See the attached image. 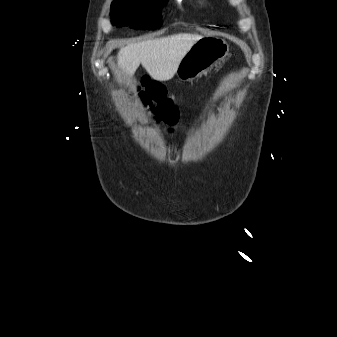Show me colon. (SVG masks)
Segmentation results:
<instances>
[{"instance_id": "1", "label": "colon", "mask_w": 337, "mask_h": 337, "mask_svg": "<svg viewBox=\"0 0 337 337\" xmlns=\"http://www.w3.org/2000/svg\"><path fill=\"white\" fill-rule=\"evenodd\" d=\"M138 93L143 105L156 115L158 122H163L168 126L176 124L178 110L161 84L143 77L138 87Z\"/></svg>"}]
</instances>
